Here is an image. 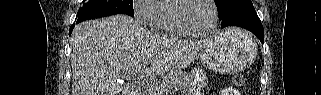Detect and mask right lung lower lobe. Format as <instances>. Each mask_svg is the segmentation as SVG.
Instances as JSON below:
<instances>
[{
    "label": "right lung lower lobe",
    "mask_w": 321,
    "mask_h": 95,
    "mask_svg": "<svg viewBox=\"0 0 321 95\" xmlns=\"http://www.w3.org/2000/svg\"><path fill=\"white\" fill-rule=\"evenodd\" d=\"M74 26H75V24L73 26H71L69 34H71Z\"/></svg>",
    "instance_id": "98d812e1"
}]
</instances>
